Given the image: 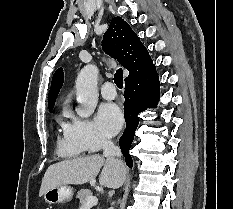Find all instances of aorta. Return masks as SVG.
Masks as SVG:
<instances>
[{"label": "aorta", "mask_w": 233, "mask_h": 209, "mask_svg": "<svg viewBox=\"0 0 233 209\" xmlns=\"http://www.w3.org/2000/svg\"><path fill=\"white\" fill-rule=\"evenodd\" d=\"M98 68L95 65L84 66L76 80L77 114L82 118L91 116L98 102L97 92Z\"/></svg>", "instance_id": "aorta-1"}]
</instances>
